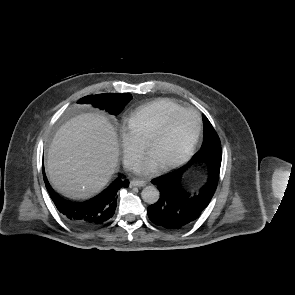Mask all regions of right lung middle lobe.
Masks as SVG:
<instances>
[{
	"label": "right lung middle lobe",
	"instance_id": "1",
	"mask_svg": "<svg viewBox=\"0 0 295 295\" xmlns=\"http://www.w3.org/2000/svg\"><path fill=\"white\" fill-rule=\"evenodd\" d=\"M132 99L130 94L104 93L83 97L78 101L80 104H92L112 115H118L127 103Z\"/></svg>",
	"mask_w": 295,
	"mask_h": 295
}]
</instances>
